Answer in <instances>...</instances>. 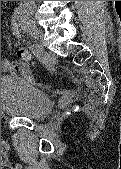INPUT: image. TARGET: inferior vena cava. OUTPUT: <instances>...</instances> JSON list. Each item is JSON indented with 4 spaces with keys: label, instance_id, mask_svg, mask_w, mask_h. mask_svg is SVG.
Instances as JSON below:
<instances>
[{
    "label": "inferior vena cava",
    "instance_id": "obj_1",
    "mask_svg": "<svg viewBox=\"0 0 121 169\" xmlns=\"http://www.w3.org/2000/svg\"><path fill=\"white\" fill-rule=\"evenodd\" d=\"M24 2L34 4L35 1H24Z\"/></svg>",
    "mask_w": 121,
    "mask_h": 169
}]
</instances>
